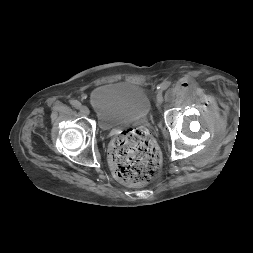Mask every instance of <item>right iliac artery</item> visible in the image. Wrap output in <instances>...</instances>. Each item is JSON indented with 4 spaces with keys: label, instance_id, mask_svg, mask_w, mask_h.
<instances>
[{
    "label": "right iliac artery",
    "instance_id": "right-iliac-artery-1",
    "mask_svg": "<svg viewBox=\"0 0 253 253\" xmlns=\"http://www.w3.org/2000/svg\"><path fill=\"white\" fill-rule=\"evenodd\" d=\"M72 105L77 109L81 107V103L77 100L72 101Z\"/></svg>",
    "mask_w": 253,
    "mask_h": 253
}]
</instances>
